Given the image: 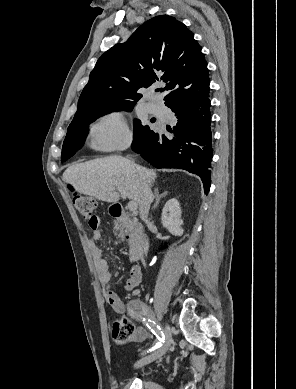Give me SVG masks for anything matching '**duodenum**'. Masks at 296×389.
I'll return each mask as SVG.
<instances>
[{
  "label": "duodenum",
  "instance_id": "1",
  "mask_svg": "<svg viewBox=\"0 0 296 389\" xmlns=\"http://www.w3.org/2000/svg\"><path fill=\"white\" fill-rule=\"evenodd\" d=\"M110 212L115 219L125 225L128 229L131 261L142 260L147 252V242L143 227L138 222L132 220L126 214L124 208L119 204H113Z\"/></svg>",
  "mask_w": 296,
  "mask_h": 389
}]
</instances>
